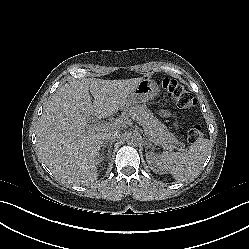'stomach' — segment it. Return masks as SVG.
I'll return each instance as SVG.
<instances>
[{
    "mask_svg": "<svg viewBox=\"0 0 249 249\" xmlns=\"http://www.w3.org/2000/svg\"><path fill=\"white\" fill-rule=\"evenodd\" d=\"M160 88L150 79H143L132 89L128 102L146 103L160 95Z\"/></svg>",
    "mask_w": 249,
    "mask_h": 249,
    "instance_id": "obj_1",
    "label": "stomach"
}]
</instances>
